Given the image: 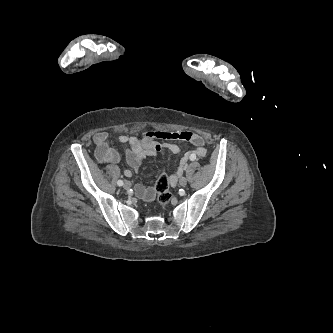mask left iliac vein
<instances>
[{"instance_id":"left-iliac-vein-1","label":"left iliac vein","mask_w":333,"mask_h":333,"mask_svg":"<svg viewBox=\"0 0 333 333\" xmlns=\"http://www.w3.org/2000/svg\"><path fill=\"white\" fill-rule=\"evenodd\" d=\"M186 184H187V179H186V177H184V176L180 177V178H179V185H180V186H186Z\"/></svg>"}]
</instances>
